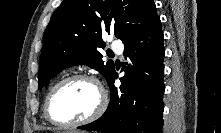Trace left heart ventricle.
I'll list each match as a JSON object with an SVG mask.
<instances>
[{
  "instance_id": "b2bd125f",
  "label": "left heart ventricle",
  "mask_w": 221,
  "mask_h": 133,
  "mask_svg": "<svg viewBox=\"0 0 221 133\" xmlns=\"http://www.w3.org/2000/svg\"><path fill=\"white\" fill-rule=\"evenodd\" d=\"M99 102L96 86L85 80H75L60 86L50 99V113L59 122H73L89 116Z\"/></svg>"
}]
</instances>
